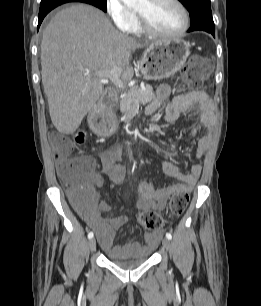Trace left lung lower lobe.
<instances>
[{
  "label": "left lung lower lobe",
  "mask_w": 261,
  "mask_h": 306,
  "mask_svg": "<svg viewBox=\"0 0 261 306\" xmlns=\"http://www.w3.org/2000/svg\"><path fill=\"white\" fill-rule=\"evenodd\" d=\"M197 30L206 31L208 33H211L215 37V28H208L204 26H194V27H190L188 32L197 31Z\"/></svg>",
  "instance_id": "0a47b994"
}]
</instances>
